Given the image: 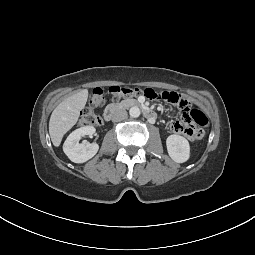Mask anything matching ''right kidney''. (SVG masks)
Returning <instances> with one entry per match:
<instances>
[{"mask_svg": "<svg viewBox=\"0 0 255 255\" xmlns=\"http://www.w3.org/2000/svg\"><path fill=\"white\" fill-rule=\"evenodd\" d=\"M95 131L93 126H84L76 129L67 137L63 145V151L72 162L84 163L98 152L99 145L97 143L87 145L79 143L81 137L85 135L91 137Z\"/></svg>", "mask_w": 255, "mask_h": 255, "instance_id": "obj_1", "label": "right kidney"}]
</instances>
